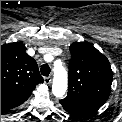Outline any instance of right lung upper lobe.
Masks as SVG:
<instances>
[{"label": "right lung upper lobe", "mask_w": 122, "mask_h": 122, "mask_svg": "<svg viewBox=\"0 0 122 122\" xmlns=\"http://www.w3.org/2000/svg\"><path fill=\"white\" fill-rule=\"evenodd\" d=\"M36 61L21 42L1 46V110L24 103L36 85L43 83Z\"/></svg>", "instance_id": "cb5924a9"}]
</instances>
